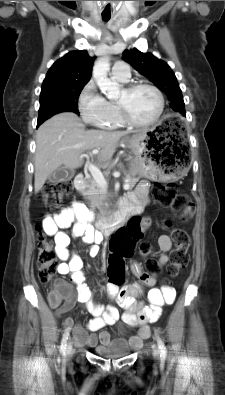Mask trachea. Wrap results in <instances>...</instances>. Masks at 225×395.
Listing matches in <instances>:
<instances>
[{"mask_svg":"<svg viewBox=\"0 0 225 395\" xmlns=\"http://www.w3.org/2000/svg\"><path fill=\"white\" fill-rule=\"evenodd\" d=\"M110 15H102V19L104 20V21H108L109 19H110Z\"/></svg>","mask_w":225,"mask_h":395,"instance_id":"obj_1","label":"trachea"}]
</instances>
